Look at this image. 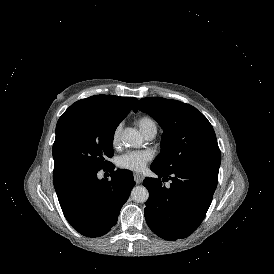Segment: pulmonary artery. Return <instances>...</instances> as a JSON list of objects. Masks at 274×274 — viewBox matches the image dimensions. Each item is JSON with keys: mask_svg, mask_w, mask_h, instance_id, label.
Masks as SVG:
<instances>
[{"mask_svg": "<svg viewBox=\"0 0 274 274\" xmlns=\"http://www.w3.org/2000/svg\"><path fill=\"white\" fill-rule=\"evenodd\" d=\"M141 133L143 135V137L148 140L151 141L155 138L156 134H157V126L154 122H151L149 124H147L142 130Z\"/></svg>", "mask_w": 274, "mask_h": 274, "instance_id": "pulmonary-artery-1", "label": "pulmonary artery"}]
</instances>
